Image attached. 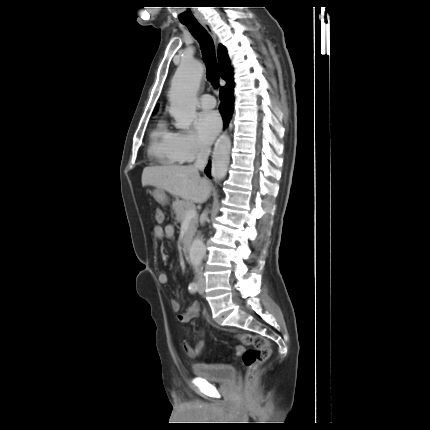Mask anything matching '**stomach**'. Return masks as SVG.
Listing matches in <instances>:
<instances>
[{"instance_id":"0dacf381","label":"stomach","mask_w":430,"mask_h":430,"mask_svg":"<svg viewBox=\"0 0 430 430\" xmlns=\"http://www.w3.org/2000/svg\"><path fill=\"white\" fill-rule=\"evenodd\" d=\"M155 200L161 204H165L167 197L163 189L157 188L153 192Z\"/></svg>"}]
</instances>
